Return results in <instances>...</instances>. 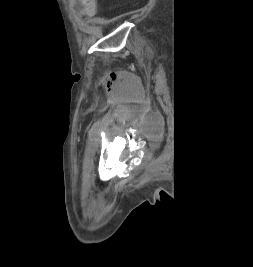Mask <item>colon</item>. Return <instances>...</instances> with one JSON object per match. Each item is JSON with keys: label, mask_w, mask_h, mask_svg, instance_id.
Returning a JSON list of instances; mask_svg holds the SVG:
<instances>
[{"label": "colon", "mask_w": 253, "mask_h": 267, "mask_svg": "<svg viewBox=\"0 0 253 267\" xmlns=\"http://www.w3.org/2000/svg\"><path fill=\"white\" fill-rule=\"evenodd\" d=\"M85 16H93L96 12V0H79Z\"/></svg>", "instance_id": "5ec220e1"}]
</instances>
